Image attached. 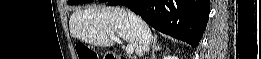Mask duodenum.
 <instances>
[{
  "label": "duodenum",
  "mask_w": 261,
  "mask_h": 59,
  "mask_svg": "<svg viewBox=\"0 0 261 59\" xmlns=\"http://www.w3.org/2000/svg\"><path fill=\"white\" fill-rule=\"evenodd\" d=\"M110 59H128V57H125V56H121V55H118V54H110Z\"/></svg>",
  "instance_id": "duodenum-1"
}]
</instances>
